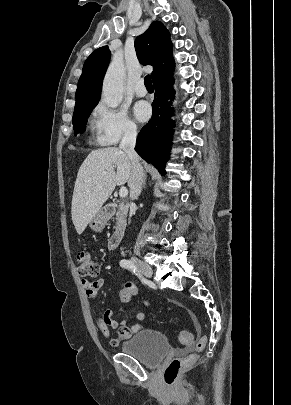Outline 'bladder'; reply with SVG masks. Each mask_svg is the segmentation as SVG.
<instances>
[{"label":"bladder","mask_w":291,"mask_h":405,"mask_svg":"<svg viewBox=\"0 0 291 405\" xmlns=\"http://www.w3.org/2000/svg\"><path fill=\"white\" fill-rule=\"evenodd\" d=\"M121 352L134 357L147 367L160 364L169 352L166 336L155 329H144L121 344Z\"/></svg>","instance_id":"31cf9c89"}]
</instances>
